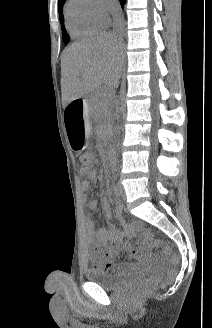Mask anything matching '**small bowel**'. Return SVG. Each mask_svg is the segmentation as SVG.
<instances>
[{
    "mask_svg": "<svg viewBox=\"0 0 212 328\" xmlns=\"http://www.w3.org/2000/svg\"><path fill=\"white\" fill-rule=\"evenodd\" d=\"M81 174L88 176L92 182H96L98 180V172L96 170H94L93 173ZM90 181L83 180L80 183V190L86 206L85 225L88 237L93 244L94 253L92 259L94 264L101 267L103 271L107 273L124 274L138 269L147 262L150 256L148 247L141 244L131 245L130 243H124L125 237H131L136 233L138 228L137 224L133 221H125L119 217L120 224L124 228L123 232H121L118 227L113 224L109 225L107 228L96 227L92 219V212L96 209L97 204L95 201L89 200L88 198V193L91 187ZM101 208L105 217L111 218V207L107 200L102 201ZM117 209L118 212H120L122 206L118 204ZM122 249L133 256L136 262H117L116 258Z\"/></svg>",
    "mask_w": 212,
    "mask_h": 328,
    "instance_id": "small-bowel-1",
    "label": "small bowel"
}]
</instances>
